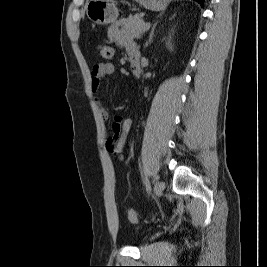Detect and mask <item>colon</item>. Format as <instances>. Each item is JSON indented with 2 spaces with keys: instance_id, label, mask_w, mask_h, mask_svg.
Segmentation results:
<instances>
[{
  "instance_id": "5ec220e1",
  "label": "colon",
  "mask_w": 267,
  "mask_h": 267,
  "mask_svg": "<svg viewBox=\"0 0 267 267\" xmlns=\"http://www.w3.org/2000/svg\"><path fill=\"white\" fill-rule=\"evenodd\" d=\"M97 54L104 60L112 59L114 55L113 47L107 44H98L96 47ZM127 218L131 223L138 222V214L134 209L127 210Z\"/></svg>"
}]
</instances>
